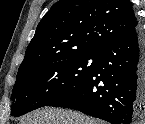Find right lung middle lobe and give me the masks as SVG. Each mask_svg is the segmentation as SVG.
<instances>
[{"mask_svg":"<svg viewBox=\"0 0 145 124\" xmlns=\"http://www.w3.org/2000/svg\"><path fill=\"white\" fill-rule=\"evenodd\" d=\"M97 54H75L47 60L17 77L11 96V115L20 116L45 106L84 80Z\"/></svg>","mask_w":145,"mask_h":124,"instance_id":"dd1d6c3e","label":"right lung middle lobe"}]
</instances>
